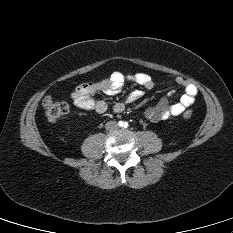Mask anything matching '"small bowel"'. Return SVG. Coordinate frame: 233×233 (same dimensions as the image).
I'll return each instance as SVG.
<instances>
[{
    "mask_svg": "<svg viewBox=\"0 0 233 233\" xmlns=\"http://www.w3.org/2000/svg\"><path fill=\"white\" fill-rule=\"evenodd\" d=\"M126 80L134 82L146 89H152L155 85L152 77L146 73L125 76L121 72L115 71L102 81L87 82L78 85L71 93V99L75 106L82 110L99 114L104 113L107 110L106 102L103 100H94L92 96L100 92L106 95H115L120 92ZM174 81L177 85L183 87L184 94L177 103L172 105H169L167 98L163 97L157 105L147 108L145 117L148 120L158 122L173 116H179L195 102L198 93L196 85L181 76H177ZM172 93L170 92V95ZM142 95L143 92L141 90H134L129 94L126 101L132 103ZM124 109L125 103L122 101H117L113 105V111L115 113H121Z\"/></svg>",
    "mask_w": 233,
    "mask_h": 233,
    "instance_id": "small-bowel-1",
    "label": "small bowel"
}]
</instances>
